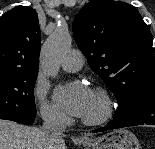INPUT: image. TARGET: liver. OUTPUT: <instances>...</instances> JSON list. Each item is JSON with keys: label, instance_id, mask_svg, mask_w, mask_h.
Wrapping results in <instances>:
<instances>
[{"label": "liver", "instance_id": "1", "mask_svg": "<svg viewBox=\"0 0 155 149\" xmlns=\"http://www.w3.org/2000/svg\"><path fill=\"white\" fill-rule=\"evenodd\" d=\"M42 129L0 120V149H49ZM56 149H66L64 141Z\"/></svg>", "mask_w": 155, "mask_h": 149}]
</instances>
